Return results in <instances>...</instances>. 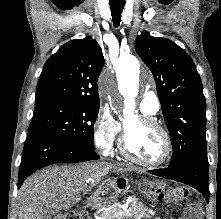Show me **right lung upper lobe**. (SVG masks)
Instances as JSON below:
<instances>
[{
	"instance_id": "right-lung-upper-lobe-1",
	"label": "right lung upper lobe",
	"mask_w": 221,
	"mask_h": 219,
	"mask_svg": "<svg viewBox=\"0 0 221 219\" xmlns=\"http://www.w3.org/2000/svg\"><path fill=\"white\" fill-rule=\"evenodd\" d=\"M104 56L96 40L85 37L62 45L45 63L35 103L50 100L99 103L97 80Z\"/></svg>"
}]
</instances>
